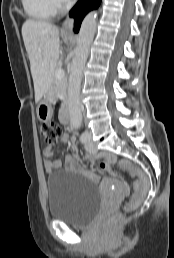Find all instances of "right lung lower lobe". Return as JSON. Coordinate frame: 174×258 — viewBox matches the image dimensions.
<instances>
[{"label": "right lung lower lobe", "mask_w": 174, "mask_h": 258, "mask_svg": "<svg viewBox=\"0 0 174 258\" xmlns=\"http://www.w3.org/2000/svg\"><path fill=\"white\" fill-rule=\"evenodd\" d=\"M101 0H79L78 3L70 11V16L75 18L74 31L78 32L84 16L92 9H96Z\"/></svg>", "instance_id": "1"}]
</instances>
